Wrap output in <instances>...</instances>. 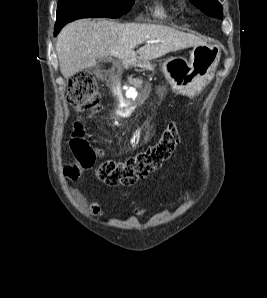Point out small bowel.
Returning a JSON list of instances; mask_svg holds the SVG:
<instances>
[{
	"instance_id": "small-bowel-1",
	"label": "small bowel",
	"mask_w": 267,
	"mask_h": 298,
	"mask_svg": "<svg viewBox=\"0 0 267 298\" xmlns=\"http://www.w3.org/2000/svg\"><path fill=\"white\" fill-rule=\"evenodd\" d=\"M75 197L76 199L81 203V204H85V200L83 199V197L78 193L75 192ZM88 208L90 210V212L94 215H99L101 213V207L97 202L92 201L89 205ZM135 213L137 215H141L143 213V210L141 209H136Z\"/></svg>"
}]
</instances>
